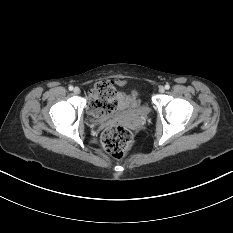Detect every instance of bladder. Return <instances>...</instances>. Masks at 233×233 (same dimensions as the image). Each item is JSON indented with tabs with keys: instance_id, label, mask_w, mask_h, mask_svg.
Masks as SVG:
<instances>
[{
	"instance_id": "bladder-1",
	"label": "bladder",
	"mask_w": 233,
	"mask_h": 233,
	"mask_svg": "<svg viewBox=\"0 0 233 233\" xmlns=\"http://www.w3.org/2000/svg\"><path fill=\"white\" fill-rule=\"evenodd\" d=\"M128 111L138 115H147L150 109L145 102L137 100L135 103L128 106Z\"/></svg>"
}]
</instances>
